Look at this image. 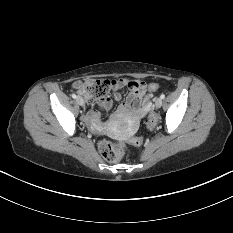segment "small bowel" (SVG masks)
Segmentation results:
<instances>
[{"instance_id": "c3829d8e", "label": "small bowel", "mask_w": 233, "mask_h": 233, "mask_svg": "<svg viewBox=\"0 0 233 233\" xmlns=\"http://www.w3.org/2000/svg\"><path fill=\"white\" fill-rule=\"evenodd\" d=\"M126 86L130 88V92L126 100L119 105L118 115L121 116L123 114H127L131 123H134L146 114L142 106L143 97L146 92L145 82L140 80H129L126 78L113 80L111 82V87L113 90L112 98L107 97L103 100H97V103L105 110L110 109L113 101L121 100L122 94L120 89ZM89 101L93 102V100ZM86 120L93 131L101 132L104 129L100 121V111L98 109L92 108L88 112Z\"/></svg>"}]
</instances>
